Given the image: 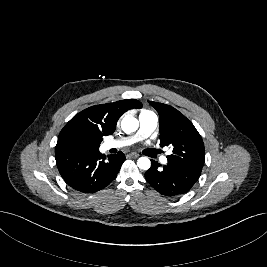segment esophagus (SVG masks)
<instances>
[{
    "mask_svg": "<svg viewBox=\"0 0 267 267\" xmlns=\"http://www.w3.org/2000/svg\"><path fill=\"white\" fill-rule=\"evenodd\" d=\"M130 157H132V158H138L139 157V154L136 153V152H132V153H130Z\"/></svg>",
    "mask_w": 267,
    "mask_h": 267,
    "instance_id": "1",
    "label": "esophagus"
}]
</instances>
